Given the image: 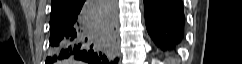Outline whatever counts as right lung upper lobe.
I'll use <instances>...</instances> for the list:
<instances>
[{
	"label": "right lung upper lobe",
	"mask_w": 242,
	"mask_h": 64,
	"mask_svg": "<svg viewBox=\"0 0 242 64\" xmlns=\"http://www.w3.org/2000/svg\"><path fill=\"white\" fill-rule=\"evenodd\" d=\"M77 0H52L51 14H61L72 10L76 5Z\"/></svg>",
	"instance_id": "obj_1"
}]
</instances>
